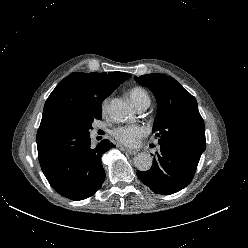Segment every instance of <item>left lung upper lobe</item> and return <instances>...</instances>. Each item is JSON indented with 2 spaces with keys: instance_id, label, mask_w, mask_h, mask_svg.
Masks as SVG:
<instances>
[{
  "instance_id": "left-lung-upper-lobe-1",
  "label": "left lung upper lobe",
  "mask_w": 248,
  "mask_h": 248,
  "mask_svg": "<svg viewBox=\"0 0 248 248\" xmlns=\"http://www.w3.org/2000/svg\"><path fill=\"white\" fill-rule=\"evenodd\" d=\"M135 80L156 97L158 115L152 133L159 138L160 146L177 148L199 162L206 142L204 121L195 97L175 79L163 74L142 75Z\"/></svg>"
}]
</instances>
